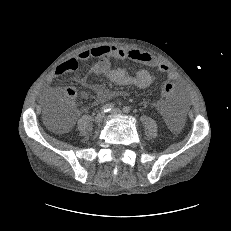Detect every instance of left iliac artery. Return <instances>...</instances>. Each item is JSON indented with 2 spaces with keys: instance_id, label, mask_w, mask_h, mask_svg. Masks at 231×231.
Segmentation results:
<instances>
[{
  "instance_id": "1",
  "label": "left iliac artery",
  "mask_w": 231,
  "mask_h": 231,
  "mask_svg": "<svg viewBox=\"0 0 231 231\" xmlns=\"http://www.w3.org/2000/svg\"><path fill=\"white\" fill-rule=\"evenodd\" d=\"M123 111H124L125 113H129V112H130V107H129V106H125V107L123 108Z\"/></svg>"
}]
</instances>
